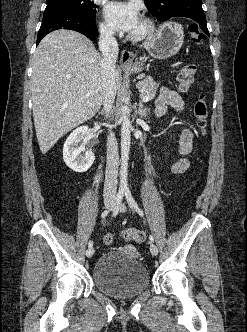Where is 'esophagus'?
<instances>
[{
	"label": "esophagus",
	"instance_id": "34e87169",
	"mask_svg": "<svg viewBox=\"0 0 247 332\" xmlns=\"http://www.w3.org/2000/svg\"><path fill=\"white\" fill-rule=\"evenodd\" d=\"M132 56H133V53L130 50L124 49L122 51L121 58H120L121 66H123V67L131 66L133 64Z\"/></svg>",
	"mask_w": 247,
	"mask_h": 332
}]
</instances>
